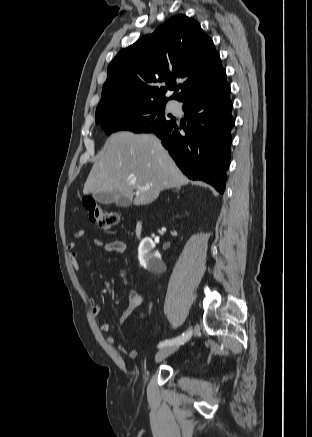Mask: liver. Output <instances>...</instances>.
I'll use <instances>...</instances> for the list:
<instances>
[{"label": "liver", "mask_w": 312, "mask_h": 437, "mask_svg": "<svg viewBox=\"0 0 312 437\" xmlns=\"http://www.w3.org/2000/svg\"><path fill=\"white\" fill-rule=\"evenodd\" d=\"M133 179L136 183L130 184ZM188 183L159 138L123 131L108 138L106 153L94 163L83 193L114 192L115 200L125 197L139 206L152 203L162 190ZM146 186L150 188L140 189Z\"/></svg>", "instance_id": "1"}]
</instances>
